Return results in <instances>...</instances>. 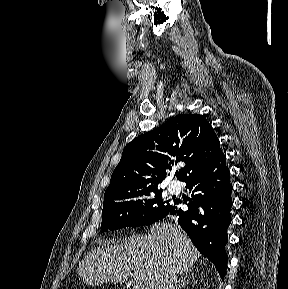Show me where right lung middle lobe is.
<instances>
[{"instance_id":"obj_1","label":"right lung middle lobe","mask_w":288,"mask_h":289,"mask_svg":"<svg viewBox=\"0 0 288 289\" xmlns=\"http://www.w3.org/2000/svg\"><path fill=\"white\" fill-rule=\"evenodd\" d=\"M162 191L149 187L105 196L102 232L149 225L162 219L173 206L162 198Z\"/></svg>"}]
</instances>
